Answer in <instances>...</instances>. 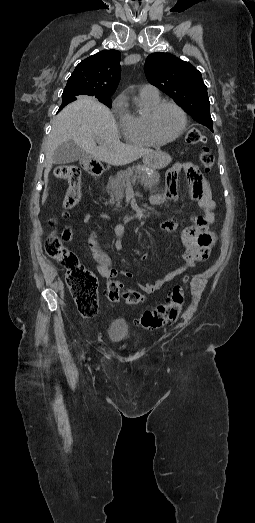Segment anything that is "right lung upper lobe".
Listing matches in <instances>:
<instances>
[{
    "label": "right lung upper lobe",
    "instance_id": "obj_1",
    "mask_svg": "<svg viewBox=\"0 0 255 523\" xmlns=\"http://www.w3.org/2000/svg\"><path fill=\"white\" fill-rule=\"evenodd\" d=\"M121 54L117 50L101 51L80 62L67 81L59 111L80 98H110L121 77ZM58 111V112H59Z\"/></svg>",
    "mask_w": 255,
    "mask_h": 523
}]
</instances>
